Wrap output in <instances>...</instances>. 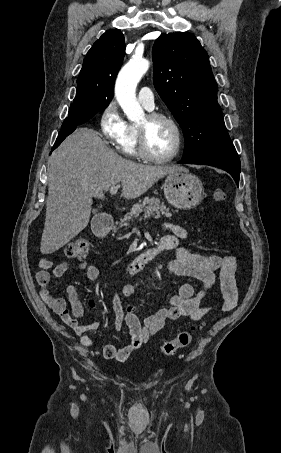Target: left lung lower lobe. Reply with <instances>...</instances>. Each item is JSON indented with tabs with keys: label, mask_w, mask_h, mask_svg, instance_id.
Here are the masks:
<instances>
[{
	"label": "left lung lower lobe",
	"mask_w": 281,
	"mask_h": 453,
	"mask_svg": "<svg viewBox=\"0 0 281 453\" xmlns=\"http://www.w3.org/2000/svg\"><path fill=\"white\" fill-rule=\"evenodd\" d=\"M179 163L210 165L221 168L227 171L229 174H231L237 186H239L240 160L236 150L224 153H217L194 159L188 160L183 159L182 161H179Z\"/></svg>",
	"instance_id": "obj_1"
}]
</instances>
